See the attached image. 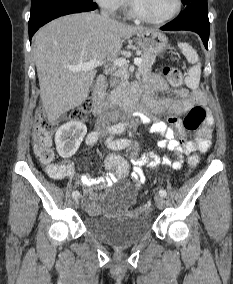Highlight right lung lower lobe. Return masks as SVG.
<instances>
[{
    "label": "right lung lower lobe",
    "mask_w": 233,
    "mask_h": 284,
    "mask_svg": "<svg viewBox=\"0 0 233 284\" xmlns=\"http://www.w3.org/2000/svg\"><path fill=\"white\" fill-rule=\"evenodd\" d=\"M94 2L56 3L31 11L29 19V39L47 22L67 14L92 11L97 8Z\"/></svg>",
    "instance_id": "right-lung-lower-lobe-1"
}]
</instances>
